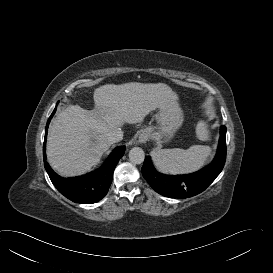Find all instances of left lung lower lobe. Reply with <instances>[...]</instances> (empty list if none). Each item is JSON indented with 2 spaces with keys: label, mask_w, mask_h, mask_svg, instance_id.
Listing matches in <instances>:
<instances>
[{
  "label": "left lung lower lobe",
  "mask_w": 273,
  "mask_h": 273,
  "mask_svg": "<svg viewBox=\"0 0 273 273\" xmlns=\"http://www.w3.org/2000/svg\"><path fill=\"white\" fill-rule=\"evenodd\" d=\"M220 140L214 160L203 169L185 175H165L152 165L150 157L145 158L142 174L149 185L159 194L170 198H187L204 191L220 174L226 160V127L220 128Z\"/></svg>",
  "instance_id": "left-lung-lower-lobe-1"
}]
</instances>
